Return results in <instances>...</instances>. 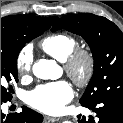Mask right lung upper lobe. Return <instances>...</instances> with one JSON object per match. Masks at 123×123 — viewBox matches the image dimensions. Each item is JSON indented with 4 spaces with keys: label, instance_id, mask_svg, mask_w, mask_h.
I'll use <instances>...</instances> for the list:
<instances>
[{
    "label": "right lung upper lobe",
    "instance_id": "obj_1",
    "mask_svg": "<svg viewBox=\"0 0 123 123\" xmlns=\"http://www.w3.org/2000/svg\"><path fill=\"white\" fill-rule=\"evenodd\" d=\"M58 17L12 15L1 18V39H10L24 30H47Z\"/></svg>",
    "mask_w": 123,
    "mask_h": 123
}]
</instances>
